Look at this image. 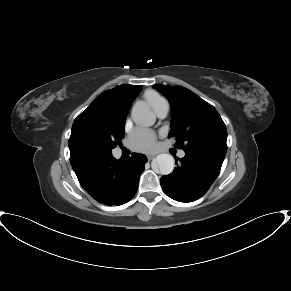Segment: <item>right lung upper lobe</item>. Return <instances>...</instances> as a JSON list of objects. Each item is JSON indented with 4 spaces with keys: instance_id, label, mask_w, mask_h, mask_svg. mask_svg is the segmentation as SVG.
Instances as JSON below:
<instances>
[{
    "instance_id": "obj_1",
    "label": "right lung upper lobe",
    "mask_w": 291,
    "mask_h": 291,
    "mask_svg": "<svg viewBox=\"0 0 291 291\" xmlns=\"http://www.w3.org/2000/svg\"><path fill=\"white\" fill-rule=\"evenodd\" d=\"M141 88L140 85H120L100 94L89 107L75 119L71 136L81 123L97 119L105 114H111L126 119L129 107L133 99L141 91ZM70 154L73 153L70 152Z\"/></svg>"
}]
</instances>
